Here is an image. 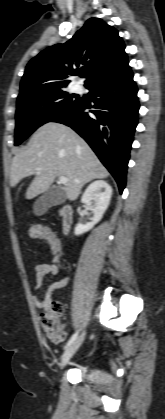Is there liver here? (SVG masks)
<instances>
[{"label":"liver","mask_w":165,"mask_h":419,"mask_svg":"<svg viewBox=\"0 0 165 419\" xmlns=\"http://www.w3.org/2000/svg\"><path fill=\"white\" fill-rule=\"evenodd\" d=\"M31 175L35 178L26 191V199L46 192L55 178L66 177L65 193L73 201L84 184L93 179L106 178L109 173L76 132L63 124L49 122L41 126L32 135L27 147L14 156L10 185L15 187Z\"/></svg>","instance_id":"1"}]
</instances>
